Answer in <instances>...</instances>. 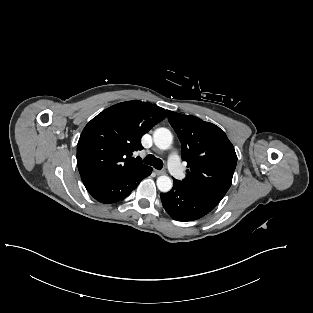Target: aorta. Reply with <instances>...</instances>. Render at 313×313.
<instances>
[{
  "label": "aorta",
  "instance_id": "aorta-1",
  "mask_svg": "<svg viewBox=\"0 0 313 313\" xmlns=\"http://www.w3.org/2000/svg\"><path fill=\"white\" fill-rule=\"evenodd\" d=\"M153 139L155 145L161 150H167L170 148L173 136L170 130L167 128H158L155 130L153 134ZM173 186V182L168 176H159L157 178V187L161 192H168L171 190Z\"/></svg>",
  "mask_w": 313,
  "mask_h": 313
}]
</instances>
